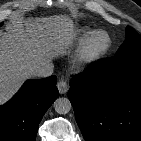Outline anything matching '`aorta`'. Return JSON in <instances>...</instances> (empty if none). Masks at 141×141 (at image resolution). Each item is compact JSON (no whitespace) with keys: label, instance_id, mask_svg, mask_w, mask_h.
I'll list each match as a JSON object with an SVG mask.
<instances>
[{"label":"aorta","instance_id":"1","mask_svg":"<svg viewBox=\"0 0 141 141\" xmlns=\"http://www.w3.org/2000/svg\"><path fill=\"white\" fill-rule=\"evenodd\" d=\"M71 108L72 104L68 98L59 97L54 102V109L58 114H67Z\"/></svg>","mask_w":141,"mask_h":141}]
</instances>
